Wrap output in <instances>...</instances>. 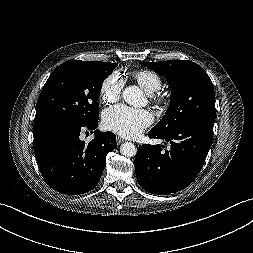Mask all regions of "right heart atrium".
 I'll list each match as a JSON object with an SVG mask.
<instances>
[{
  "mask_svg": "<svg viewBox=\"0 0 253 253\" xmlns=\"http://www.w3.org/2000/svg\"><path fill=\"white\" fill-rule=\"evenodd\" d=\"M124 80L118 73H112L105 78L100 88V98L110 104L119 100L122 94Z\"/></svg>",
  "mask_w": 253,
  "mask_h": 253,
  "instance_id": "1",
  "label": "right heart atrium"
}]
</instances>
